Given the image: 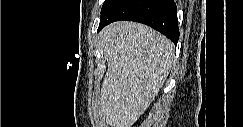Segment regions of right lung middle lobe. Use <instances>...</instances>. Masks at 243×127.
Returning <instances> with one entry per match:
<instances>
[{"label": "right lung middle lobe", "mask_w": 243, "mask_h": 127, "mask_svg": "<svg viewBox=\"0 0 243 127\" xmlns=\"http://www.w3.org/2000/svg\"><path fill=\"white\" fill-rule=\"evenodd\" d=\"M110 1H111V0H105V2L103 3L102 9H103L107 4H109Z\"/></svg>", "instance_id": "obj_1"}]
</instances>
